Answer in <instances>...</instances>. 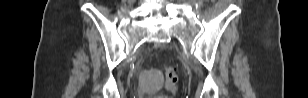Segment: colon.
Listing matches in <instances>:
<instances>
[{"label":"colon","mask_w":308,"mask_h":98,"mask_svg":"<svg viewBox=\"0 0 308 98\" xmlns=\"http://www.w3.org/2000/svg\"><path fill=\"white\" fill-rule=\"evenodd\" d=\"M165 88L167 91L174 93L177 89L178 69L175 66L166 68L165 71Z\"/></svg>","instance_id":"1"}]
</instances>
